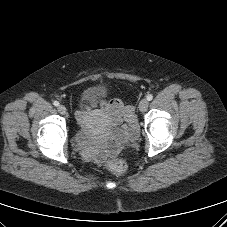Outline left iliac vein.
I'll use <instances>...</instances> for the list:
<instances>
[{
	"label": "left iliac vein",
	"mask_w": 227,
	"mask_h": 227,
	"mask_svg": "<svg viewBox=\"0 0 227 227\" xmlns=\"http://www.w3.org/2000/svg\"><path fill=\"white\" fill-rule=\"evenodd\" d=\"M149 102L147 99H142L139 103V110L145 112L148 108Z\"/></svg>",
	"instance_id": "1"
}]
</instances>
